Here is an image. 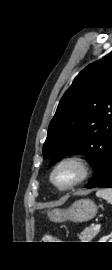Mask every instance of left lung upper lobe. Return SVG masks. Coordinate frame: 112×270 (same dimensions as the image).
Masks as SVG:
<instances>
[{"label": "left lung upper lobe", "instance_id": "5c2ea615", "mask_svg": "<svg viewBox=\"0 0 112 270\" xmlns=\"http://www.w3.org/2000/svg\"><path fill=\"white\" fill-rule=\"evenodd\" d=\"M111 148L112 52L83 69L65 92L50 122L43 155L60 160L84 154L95 177Z\"/></svg>", "mask_w": 112, "mask_h": 270}]
</instances>
